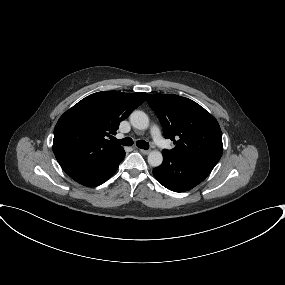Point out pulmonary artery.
<instances>
[{"instance_id":"pulmonary-artery-1","label":"pulmonary artery","mask_w":285,"mask_h":285,"mask_svg":"<svg viewBox=\"0 0 285 285\" xmlns=\"http://www.w3.org/2000/svg\"><path fill=\"white\" fill-rule=\"evenodd\" d=\"M150 133H151V136H152L154 142L159 147H165L166 146V141L163 138L162 133H161L158 126H156V125L152 126Z\"/></svg>"}]
</instances>
